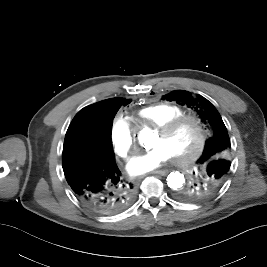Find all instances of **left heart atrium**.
Listing matches in <instances>:
<instances>
[{"label": "left heart atrium", "mask_w": 267, "mask_h": 267, "mask_svg": "<svg viewBox=\"0 0 267 267\" xmlns=\"http://www.w3.org/2000/svg\"><path fill=\"white\" fill-rule=\"evenodd\" d=\"M171 153L163 146L157 145L152 149L134 156L127 165L131 175H141L159 168L168 161Z\"/></svg>", "instance_id": "obj_1"}]
</instances>
